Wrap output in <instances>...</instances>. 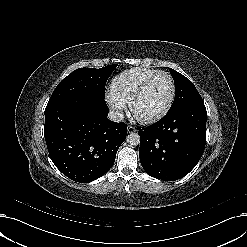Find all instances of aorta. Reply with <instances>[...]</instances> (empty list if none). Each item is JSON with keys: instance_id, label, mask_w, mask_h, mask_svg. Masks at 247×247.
I'll return each instance as SVG.
<instances>
[{"instance_id": "aorta-1", "label": "aorta", "mask_w": 247, "mask_h": 247, "mask_svg": "<svg viewBox=\"0 0 247 247\" xmlns=\"http://www.w3.org/2000/svg\"><path fill=\"white\" fill-rule=\"evenodd\" d=\"M126 140L131 146H137L140 144V136L137 133L129 134Z\"/></svg>"}]
</instances>
